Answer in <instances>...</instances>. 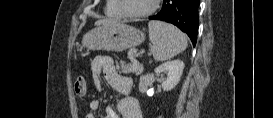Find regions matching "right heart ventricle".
I'll list each match as a JSON object with an SVG mask.
<instances>
[{
    "label": "right heart ventricle",
    "mask_w": 273,
    "mask_h": 118,
    "mask_svg": "<svg viewBox=\"0 0 273 118\" xmlns=\"http://www.w3.org/2000/svg\"><path fill=\"white\" fill-rule=\"evenodd\" d=\"M104 12L107 16L111 17H122L123 13L117 5V0H107V3L104 7Z\"/></svg>",
    "instance_id": "1"
}]
</instances>
